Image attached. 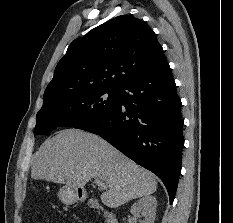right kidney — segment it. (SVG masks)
Listing matches in <instances>:
<instances>
[{"label":"right kidney","mask_w":233,"mask_h":223,"mask_svg":"<svg viewBox=\"0 0 233 223\" xmlns=\"http://www.w3.org/2000/svg\"><path fill=\"white\" fill-rule=\"evenodd\" d=\"M156 207V197L154 195H144L131 205V213L137 215V217H139V213L143 215L144 219H141L140 223H155Z\"/></svg>","instance_id":"right-kidney-1"}]
</instances>
